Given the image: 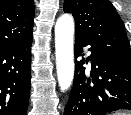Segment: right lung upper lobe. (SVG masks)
I'll return each instance as SVG.
<instances>
[{"label":"right lung upper lobe","instance_id":"obj_1","mask_svg":"<svg viewBox=\"0 0 131 115\" xmlns=\"http://www.w3.org/2000/svg\"><path fill=\"white\" fill-rule=\"evenodd\" d=\"M33 0H0V50L32 38Z\"/></svg>","mask_w":131,"mask_h":115}]
</instances>
